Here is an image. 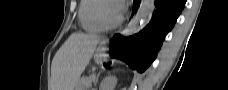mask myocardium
Returning a JSON list of instances; mask_svg holds the SVG:
<instances>
[{"label":"myocardium","mask_w":228,"mask_h":90,"mask_svg":"<svg viewBox=\"0 0 228 90\" xmlns=\"http://www.w3.org/2000/svg\"><path fill=\"white\" fill-rule=\"evenodd\" d=\"M106 4H115L113 0H101L96 8V19L104 29H112L119 26L123 21V16L120 14L118 18L112 22H108L104 19L102 10Z\"/></svg>","instance_id":"f54148a6"}]
</instances>
